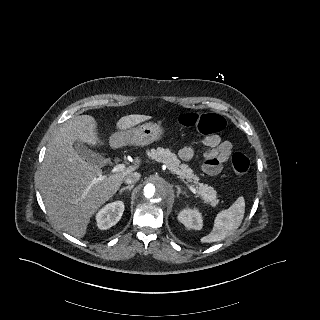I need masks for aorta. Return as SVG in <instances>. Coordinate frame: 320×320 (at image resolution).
<instances>
[{"instance_id": "aorta-1", "label": "aorta", "mask_w": 320, "mask_h": 320, "mask_svg": "<svg viewBox=\"0 0 320 320\" xmlns=\"http://www.w3.org/2000/svg\"><path fill=\"white\" fill-rule=\"evenodd\" d=\"M170 186L160 177L150 179L142 190V200L152 208H158L171 196Z\"/></svg>"}]
</instances>
